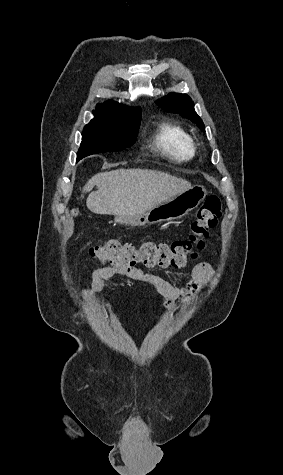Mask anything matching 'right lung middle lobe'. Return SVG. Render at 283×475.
Returning <instances> with one entry per match:
<instances>
[{
  "instance_id": "obj_1",
  "label": "right lung middle lobe",
  "mask_w": 283,
  "mask_h": 475,
  "mask_svg": "<svg viewBox=\"0 0 283 475\" xmlns=\"http://www.w3.org/2000/svg\"><path fill=\"white\" fill-rule=\"evenodd\" d=\"M84 127L77 161L100 152L121 151L134 144L141 121V108H101Z\"/></svg>"
}]
</instances>
